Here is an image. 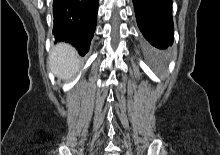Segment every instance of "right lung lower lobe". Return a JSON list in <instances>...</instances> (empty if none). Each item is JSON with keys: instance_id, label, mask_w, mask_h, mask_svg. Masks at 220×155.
Instances as JSON below:
<instances>
[{"instance_id": "1", "label": "right lung lower lobe", "mask_w": 220, "mask_h": 155, "mask_svg": "<svg viewBox=\"0 0 220 155\" xmlns=\"http://www.w3.org/2000/svg\"><path fill=\"white\" fill-rule=\"evenodd\" d=\"M98 0H54L53 35L73 45L84 56L96 28Z\"/></svg>"}]
</instances>
